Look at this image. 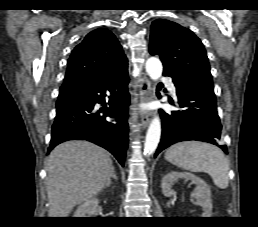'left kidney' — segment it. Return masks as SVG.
<instances>
[{
  "label": "left kidney",
  "instance_id": "left-kidney-1",
  "mask_svg": "<svg viewBox=\"0 0 258 227\" xmlns=\"http://www.w3.org/2000/svg\"><path fill=\"white\" fill-rule=\"evenodd\" d=\"M179 179L190 180L192 184H195L196 187L192 193L197 201V204L203 208V213L201 217H211L212 214V201H211V192L207 184L201 178L195 176L189 172H176L171 171L167 173L162 179V192L166 197H169L174 194L172 186Z\"/></svg>",
  "mask_w": 258,
  "mask_h": 227
}]
</instances>
